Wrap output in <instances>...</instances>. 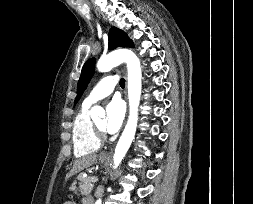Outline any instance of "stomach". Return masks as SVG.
Listing matches in <instances>:
<instances>
[{
    "label": "stomach",
    "mask_w": 253,
    "mask_h": 204,
    "mask_svg": "<svg viewBox=\"0 0 253 204\" xmlns=\"http://www.w3.org/2000/svg\"><path fill=\"white\" fill-rule=\"evenodd\" d=\"M99 162L101 164H105V163L108 162V159H104L102 157H99ZM71 190L75 191V193L77 192V188H76V184L75 183L71 186ZM64 204H75V203H73L72 201H67Z\"/></svg>",
    "instance_id": "1"
}]
</instances>
